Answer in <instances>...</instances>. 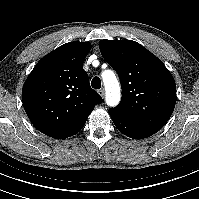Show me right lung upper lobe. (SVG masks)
I'll return each instance as SVG.
<instances>
[{"label":"right lung upper lobe","instance_id":"right-lung-upper-lobe-1","mask_svg":"<svg viewBox=\"0 0 199 199\" xmlns=\"http://www.w3.org/2000/svg\"><path fill=\"white\" fill-rule=\"evenodd\" d=\"M90 43L70 42L44 56L22 89L26 114L47 136L64 139L78 133L102 98L89 84L83 62Z\"/></svg>","mask_w":199,"mask_h":199}]
</instances>
